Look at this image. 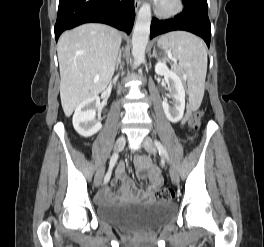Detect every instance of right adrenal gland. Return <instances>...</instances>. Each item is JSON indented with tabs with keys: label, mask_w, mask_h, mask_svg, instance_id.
Listing matches in <instances>:
<instances>
[{
	"label": "right adrenal gland",
	"mask_w": 264,
	"mask_h": 247,
	"mask_svg": "<svg viewBox=\"0 0 264 247\" xmlns=\"http://www.w3.org/2000/svg\"><path fill=\"white\" fill-rule=\"evenodd\" d=\"M121 62V51H119L118 59L116 62V70L118 69L119 63Z\"/></svg>",
	"instance_id": "2a0ac1e0"
}]
</instances>
